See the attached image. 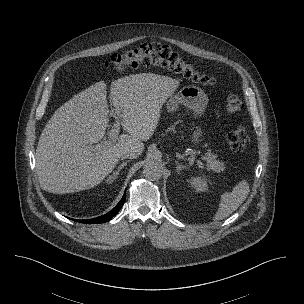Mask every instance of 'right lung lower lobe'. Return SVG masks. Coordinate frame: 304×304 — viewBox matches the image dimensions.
<instances>
[{
	"label": "right lung lower lobe",
	"instance_id": "obj_1",
	"mask_svg": "<svg viewBox=\"0 0 304 304\" xmlns=\"http://www.w3.org/2000/svg\"><path fill=\"white\" fill-rule=\"evenodd\" d=\"M125 199H126V192L124 193L121 201L115 206V208H113L110 212H108L107 214L102 215L100 217L88 219V220H76V219H72V220L81 222V223H85V224H98V223L107 222V221L111 220L112 217H114L118 213V211L123 206Z\"/></svg>",
	"mask_w": 304,
	"mask_h": 304
}]
</instances>
